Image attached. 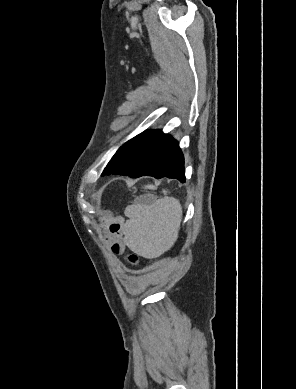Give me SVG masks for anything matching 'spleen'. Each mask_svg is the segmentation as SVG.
<instances>
[{
    "instance_id": "3e777b00",
    "label": "spleen",
    "mask_w": 296,
    "mask_h": 389,
    "mask_svg": "<svg viewBox=\"0 0 296 389\" xmlns=\"http://www.w3.org/2000/svg\"><path fill=\"white\" fill-rule=\"evenodd\" d=\"M148 189H155L147 185ZM142 198L126 208L129 218L124 225L126 245L134 253L148 259L161 256L176 242L182 220L179 200L167 196Z\"/></svg>"
}]
</instances>
